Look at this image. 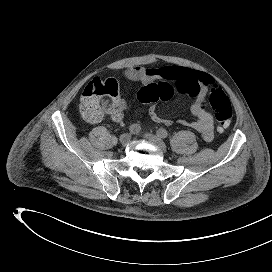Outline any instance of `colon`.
Returning a JSON list of instances; mask_svg holds the SVG:
<instances>
[{"instance_id":"colon-1","label":"colon","mask_w":272,"mask_h":272,"mask_svg":"<svg viewBox=\"0 0 272 272\" xmlns=\"http://www.w3.org/2000/svg\"><path fill=\"white\" fill-rule=\"evenodd\" d=\"M175 90L174 85L170 82H153L140 89L138 99L142 103L154 104L158 101L169 100ZM118 98V84L114 79L95 78L86 85L82 92L79 105L80 113L86 121L98 122L113 109ZM209 103L215 113L218 130L225 131L233 118L229 98L220 87L214 86L209 93Z\"/></svg>"}]
</instances>
